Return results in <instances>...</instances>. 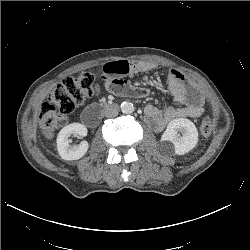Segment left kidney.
<instances>
[{
	"instance_id": "left-kidney-1",
	"label": "left kidney",
	"mask_w": 250,
	"mask_h": 250,
	"mask_svg": "<svg viewBox=\"0 0 250 250\" xmlns=\"http://www.w3.org/2000/svg\"><path fill=\"white\" fill-rule=\"evenodd\" d=\"M161 141L166 152L184 155L197 145L198 131L189 119H174L168 124Z\"/></svg>"
}]
</instances>
